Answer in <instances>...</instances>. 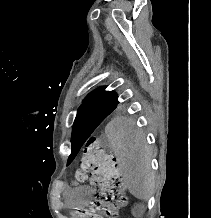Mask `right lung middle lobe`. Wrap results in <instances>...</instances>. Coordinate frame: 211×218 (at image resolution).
Wrapping results in <instances>:
<instances>
[{
  "instance_id": "right-lung-middle-lobe-1",
  "label": "right lung middle lobe",
  "mask_w": 211,
  "mask_h": 218,
  "mask_svg": "<svg viewBox=\"0 0 211 218\" xmlns=\"http://www.w3.org/2000/svg\"><path fill=\"white\" fill-rule=\"evenodd\" d=\"M119 102H91L80 106L72 132V140L88 138L95 128L118 106Z\"/></svg>"
}]
</instances>
